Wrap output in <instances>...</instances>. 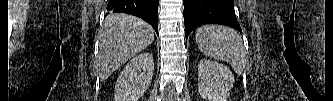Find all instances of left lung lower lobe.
Wrapping results in <instances>:
<instances>
[{"instance_id": "obj_1", "label": "left lung lower lobe", "mask_w": 333, "mask_h": 101, "mask_svg": "<svg viewBox=\"0 0 333 101\" xmlns=\"http://www.w3.org/2000/svg\"><path fill=\"white\" fill-rule=\"evenodd\" d=\"M185 36L205 24L230 26L241 32L233 0H183Z\"/></svg>"}]
</instances>
